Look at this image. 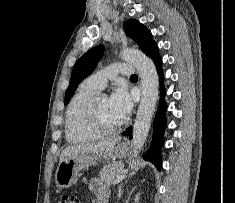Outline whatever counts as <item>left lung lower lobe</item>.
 Segmentation results:
<instances>
[{
	"label": "left lung lower lobe",
	"mask_w": 235,
	"mask_h": 203,
	"mask_svg": "<svg viewBox=\"0 0 235 203\" xmlns=\"http://www.w3.org/2000/svg\"><path fill=\"white\" fill-rule=\"evenodd\" d=\"M146 55L149 56L155 63L158 74L160 76L161 83V98L159 103V108L157 110L155 121H154V131H153V141L150 149L144 154V158L150 162H152L158 170H160L161 166V146L164 142V130L166 127V109L167 105L164 100L165 89L163 86V71H162V59L158 52L157 44H153L151 48L146 52ZM131 126L123 133L125 136H129L131 139Z\"/></svg>",
	"instance_id": "obj_1"
}]
</instances>
